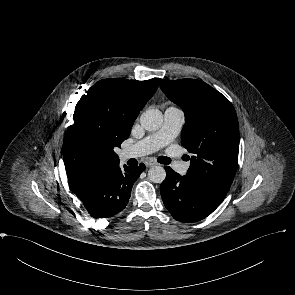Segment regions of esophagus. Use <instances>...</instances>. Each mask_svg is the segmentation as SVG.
<instances>
[{"instance_id": "1", "label": "esophagus", "mask_w": 295, "mask_h": 295, "mask_svg": "<svg viewBox=\"0 0 295 295\" xmlns=\"http://www.w3.org/2000/svg\"><path fill=\"white\" fill-rule=\"evenodd\" d=\"M145 165L147 167H152L154 165H157V162L154 159L150 158L145 161Z\"/></svg>"}]
</instances>
